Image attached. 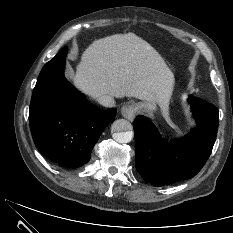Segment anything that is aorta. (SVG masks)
Wrapping results in <instances>:
<instances>
[{"mask_svg": "<svg viewBox=\"0 0 233 233\" xmlns=\"http://www.w3.org/2000/svg\"><path fill=\"white\" fill-rule=\"evenodd\" d=\"M111 130L113 139L118 143H129L133 138L132 125L125 119L114 121Z\"/></svg>", "mask_w": 233, "mask_h": 233, "instance_id": "obj_1", "label": "aorta"}]
</instances>
